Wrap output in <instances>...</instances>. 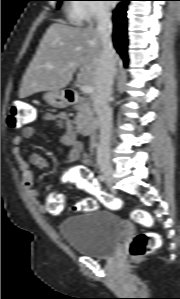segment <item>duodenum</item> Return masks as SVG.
Instances as JSON below:
<instances>
[{"label": "duodenum", "instance_id": "duodenum-1", "mask_svg": "<svg viewBox=\"0 0 180 299\" xmlns=\"http://www.w3.org/2000/svg\"><path fill=\"white\" fill-rule=\"evenodd\" d=\"M65 98L68 104L72 105L80 101V94L75 89H68L65 91ZM80 130L83 135H90L94 131V126L90 123L81 122Z\"/></svg>", "mask_w": 180, "mask_h": 299}]
</instances>
